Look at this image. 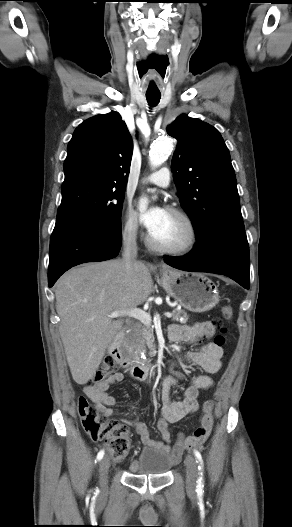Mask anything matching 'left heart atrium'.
Instances as JSON below:
<instances>
[{"mask_svg": "<svg viewBox=\"0 0 292 527\" xmlns=\"http://www.w3.org/2000/svg\"><path fill=\"white\" fill-rule=\"evenodd\" d=\"M166 211L158 206L149 207L140 213V221L149 233L155 231L165 216Z\"/></svg>", "mask_w": 292, "mask_h": 527, "instance_id": "1", "label": "left heart atrium"}]
</instances>
